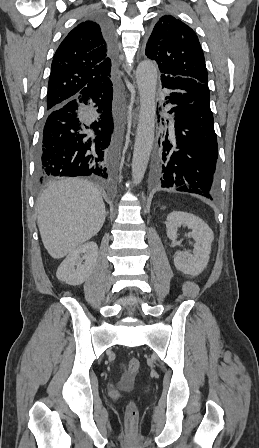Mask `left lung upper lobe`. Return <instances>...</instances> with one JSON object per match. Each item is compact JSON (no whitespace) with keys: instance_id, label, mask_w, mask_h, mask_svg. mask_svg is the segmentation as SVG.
<instances>
[{"instance_id":"obj_1","label":"left lung upper lobe","mask_w":259,"mask_h":448,"mask_svg":"<svg viewBox=\"0 0 259 448\" xmlns=\"http://www.w3.org/2000/svg\"><path fill=\"white\" fill-rule=\"evenodd\" d=\"M145 54L162 74L194 78L208 85L204 54L196 33L171 15L162 16L148 39Z\"/></svg>"}]
</instances>
